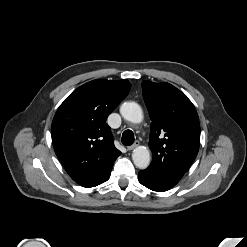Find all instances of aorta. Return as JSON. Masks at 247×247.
Returning a JSON list of instances; mask_svg holds the SVG:
<instances>
[{
  "mask_svg": "<svg viewBox=\"0 0 247 247\" xmlns=\"http://www.w3.org/2000/svg\"><path fill=\"white\" fill-rule=\"evenodd\" d=\"M122 117L132 123H140L143 120V111L136 102H124L120 107ZM132 160L136 167L145 169L150 164V152L145 146H138L133 150Z\"/></svg>",
  "mask_w": 247,
  "mask_h": 247,
  "instance_id": "obj_1",
  "label": "aorta"
}]
</instances>
